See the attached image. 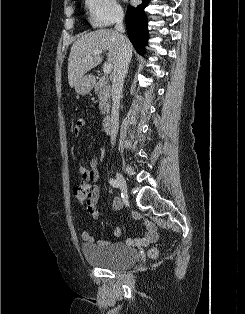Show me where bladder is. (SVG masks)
<instances>
[{
	"label": "bladder",
	"mask_w": 245,
	"mask_h": 314,
	"mask_svg": "<svg viewBox=\"0 0 245 314\" xmlns=\"http://www.w3.org/2000/svg\"><path fill=\"white\" fill-rule=\"evenodd\" d=\"M82 254L86 262L109 269L134 265L138 252L123 243L108 242L102 245L84 244Z\"/></svg>",
	"instance_id": "obj_1"
}]
</instances>
